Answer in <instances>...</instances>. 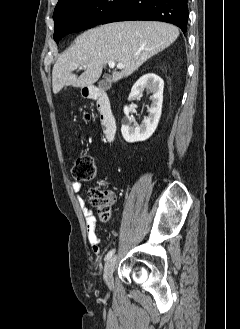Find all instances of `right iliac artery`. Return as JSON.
I'll return each mask as SVG.
<instances>
[{
    "label": "right iliac artery",
    "instance_id": "1",
    "mask_svg": "<svg viewBox=\"0 0 240 329\" xmlns=\"http://www.w3.org/2000/svg\"><path fill=\"white\" fill-rule=\"evenodd\" d=\"M115 253V249H112L108 252V254L106 255L105 257V260H109L110 258H112V256L114 255Z\"/></svg>",
    "mask_w": 240,
    "mask_h": 329
}]
</instances>
